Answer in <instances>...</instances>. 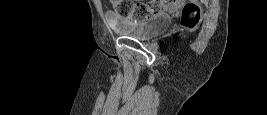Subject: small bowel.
Masks as SVG:
<instances>
[{"label":"small bowel","mask_w":267,"mask_h":115,"mask_svg":"<svg viewBox=\"0 0 267 115\" xmlns=\"http://www.w3.org/2000/svg\"><path fill=\"white\" fill-rule=\"evenodd\" d=\"M182 7H183V1L174 0L166 3L163 6V10L168 13H177L182 9Z\"/></svg>","instance_id":"small-bowel-1"}]
</instances>
